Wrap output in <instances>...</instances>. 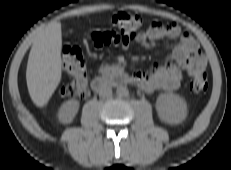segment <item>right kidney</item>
I'll use <instances>...</instances> for the list:
<instances>
[{
  "label": "right kidney",
  "mask_w": 231,
  "mask_h": 170,
  "mask_svg": "<svg viewBox=\"0 0 231 170\" xmlns=\"http://www.w3.org/2000/svg\"><path fill=\"white\" fill-rule=\"evenodd\" d=\"M79 101L71 99L63 103L59 109V120L62 123H70L75 118L79 110Z\"/></svg>",
  "instance_id": "obj_1"
}]
</instances>
